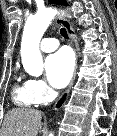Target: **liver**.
I'll use <instances>...</instances> for the list:
<instances>
[{
	"label": "liver",
	"instance_id": "6515ba94",
	"mask_svg": "<svg viewBox=\"0 0 117 136\" xmlns=\"http://www.w3.org/2000/svg\"><path fill=\"white\" fill-rule=\"evenodd\" d=\"M42 113L36 109L15 108L5 115L0 136H37Z\"/></svg>",
	"mask_w": 117,
	"mask_h": 136
}]
</instances>
